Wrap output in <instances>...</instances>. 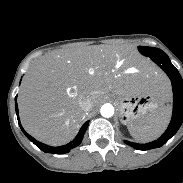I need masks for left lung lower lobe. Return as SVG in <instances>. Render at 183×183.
Wrapping results in <instances>:
<instances>
[{
	"mask_svg": "<svg viewBox=\"0 0 183 183\" xmlns=\"http://www.w3.org/2000/svg\"><path fill=\"white\" fill-rule=\"evenodd\" d=\"M150 58L163 69L171 80L173 88V115L167 130L159 139L146 144L125 141V144L137 150L161 147L178 131L183 122V81L178 70L173 66L166 53L154 54Z\"/></svg>",
	"mask_w": 183,
	"mask_h": 183,
	"instance_id": "left-lung-lower-lobe-1",
	"label": "left lung lower lobe"
}]
</instances>
